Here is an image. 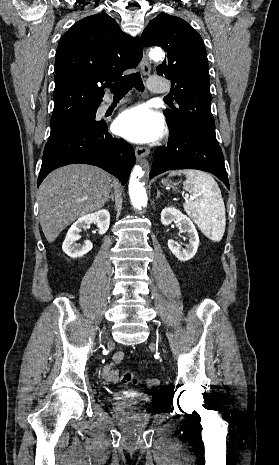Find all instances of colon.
Segmentation results:
<instances>
[{
    "label": "colon",
    "mask_w": 279,
    "mask_h": 465,
    "mask_svg": "<svg viewBox=\"0 0 279 465\" xmlns=\"http://www.w3.org/2000/svg\"><path fill=\"white\" fill-rule=\"evenodd\" d=\"M120 379H121V382H122L123 384H134V385H135V384H139V382H140V380L137 379V378L132 374V372L129 371V370L123 371L122 374H121ZM159 383H160L159 380L156 379V378L147 379V380L145 381V384H146L147 386H149V387H157V386L159 385Z\"/></svg>",
    "instance_id": "colon-1"
}]
</instances>
